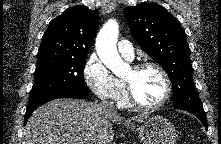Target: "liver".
Returning a JSON list of instances; mask_svg holds the SVG:
<instances>
[{
    "label": "liver",
    "mask_w": 221,
    "mask_h": 144,
    "mask_svg": "<svg viewBox=\"0 0 221 144\" xmlns=\"http://www.w3.org/2000/svg\"><path fill=\"white\" fill-rule=\"evenodd\" d=\"M146 114L132 118L136 122ZM123 118L85 100L57 99L37 108L23 130L22 144H112V123Z\"/></svg>",
    "instance_id": "obj_1"
}]
</instances>
